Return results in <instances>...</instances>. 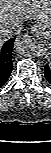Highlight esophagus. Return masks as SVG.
<instances>
[{
	"label": "esophagus",
	"instance_id": "1",
	"mask_svg": "<svg viewBox=\"0 0 51 153\" xmlns=\"http://www.w3.org/2000/svg\"><path fill=\"white\" fill-rule=\"evenodd\" d=\"M31 32L33 33V35L38 36L40 35V28L37 25H34L31 27Z\"/></svg>",
	"mask_w": 51,
	"mask_h": 153
}]
</instances>
